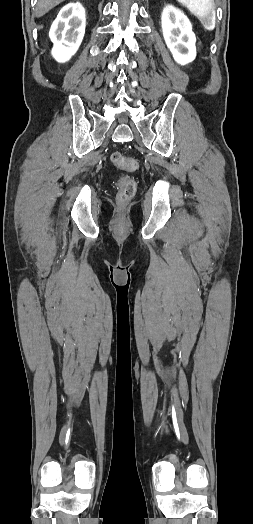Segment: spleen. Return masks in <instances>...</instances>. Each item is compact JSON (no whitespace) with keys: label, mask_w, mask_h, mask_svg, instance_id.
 Masks as SVG:
<instances>
[{"label":"spleen","mask_w":253,"mask_h":524,"mask_svg":"<svg viewBox=\"0 0 253 524\" xmlns=\"http://www.w3.org/2000/svg\"><path fill=\"white\" fill-rule=\"evenodd\" d=\"M195 15L203 27L209 31L215 28V16L213 15V0H177Z\"/></svg>","instance_id":"obj_1"}]
</instances>
